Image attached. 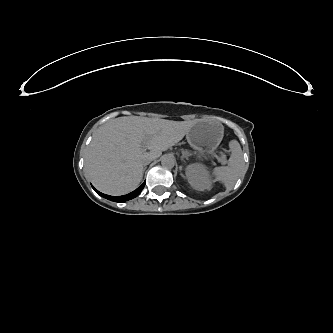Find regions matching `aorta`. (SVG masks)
I'll list each match as a JSON object with an SVG mask.
<instances>
[{
    "mask_svg": "<svg viewBox=\"0 0 333 333\" xmlns=\"http://www.w3.org/2000/svg\"><path fill=\"white\" fill-rule=\"evenodd\" d=\"M176 159L173 154H166L161 158V164L166 168H173L175 166Z\"/></svg>",
    "mask_w": 333,
    "mask_h": 333,
    "instance_id": "762f6f07",
    "label": "aorta"
}]
</instances>
